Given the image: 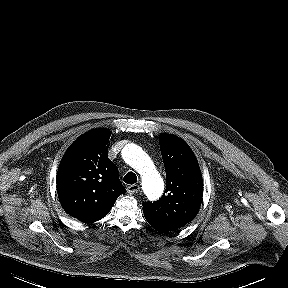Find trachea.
I'll use <instances>...</instances> for the list:
<instances>
[{"mask_svg": "<svg viewBox=\"0 0 288 288\" xmlns=\"http://www.w3.org/2000/svg\"><path fill=\"white\" fill-rule=\"evenodd\" d=\"M124 182L127 184H135L137 182V176L133 172H128L124 178Z\"/></svg>", "mask_w": 288, "mask_h": 288, "instance_id": "1", "label": "trachea"}]
</instances>
